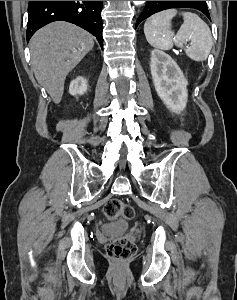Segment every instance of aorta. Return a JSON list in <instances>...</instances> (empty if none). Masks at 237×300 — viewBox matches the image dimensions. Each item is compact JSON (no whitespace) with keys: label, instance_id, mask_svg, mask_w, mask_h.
Returning <instances> with one entry per match:
<instances>
[{"label":"aorta","instance_id":"762f6f07","mask_svg":"<svg viewBox=\"0 0 237 300\" xmlns=\"http://www.w3.org/2000/svg\"><path fill=\"white\" fill-rule=\"evenodd\" d=\"M134 5H143L145 1H133Z\"/></svg>","mask_w":237,"mask_h":300}]
</instances>
